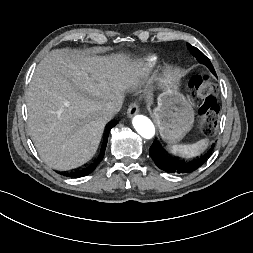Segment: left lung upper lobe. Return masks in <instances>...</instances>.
Returning <instances> with one entry per match:
<instances>
[{
    "label": "left lung upper lobe",
    "instance_id": "obj_1",
    "mask_svg": "<svg viewBox=\"0 0 253 253\" xmlns=\"http://www.w3.org/2000/svg\"><path fill=\"white\" fill-rule=\"evenodd\" d=\"M188 49L190 50V52L195 56V57H206L199 49H197L196 47L187 44Z\"/></svg>",
    "mask_w": 253,
    "mask_h": 253
}]
</instances>
